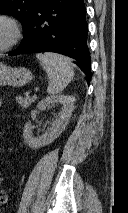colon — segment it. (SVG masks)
<instances>
[{
    "mask_svg": "<svg viewBox=\"0 0 128 213\" xmlns=\"http://www.w3.org/2000/svg\"><path fill=\"white\" fill-rule=\"evenodd\" d=\"M3 178L0 172V205H3L7 202V192L2 186Z\"/></svg>",
    "mask_w": 128,
    "mask_h": 213,
    "instance_id": "5ec220e1",
    "label": "colon"
}]
</instances>
